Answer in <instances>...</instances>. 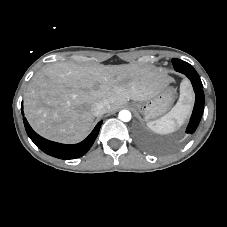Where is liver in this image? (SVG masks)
Wrapping results in <instances>:
<instances>
[{"label": "liver", "mask_w": 227, "mask_h": 227, "mask_svg": "<svg viewBox=\"0 0 227 227\" xmlns=\"http://www.w3.org/2000/svg\"><path fill=\"white\" fill-rule=\"evenodd\" d=\"M171 81L162 71L148 66L52 63L32 78L24 112L41 136L61 143H78L93 127L97 101L107 100V112H112L129 99L147 101L155 97Z\"/></svg>", "instance_id": "1"}]
</instances>
